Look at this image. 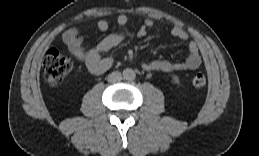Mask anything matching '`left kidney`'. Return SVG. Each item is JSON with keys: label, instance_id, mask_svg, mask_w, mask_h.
<instances>
[{"label": "left kidney", "instance_id": "left-kidney-1", "mask_svg": "<svg viewBox=\"0 0 259 156\" xmlns=\"http://www.w3.org/2000/svg\"><path fill=\"white\" fill-rule=\"evenodd\" d=\"M172 81H173V83H175V84H180V79H179V77L176 76V75H173V76H172Z\"/></svg>", "mask_w": 259, "mask_h": 156}]
</instances>
